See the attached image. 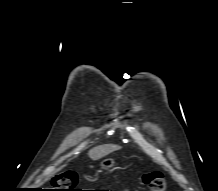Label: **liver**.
Instances as JSON below:
<instances>
[{
    "label": "liver",
    "mask_w": 218,
    "mask_h": 191,
    "mask_svg": "<svg viewBox=\"0 0 218 191\" xmlns=\"http://www.w3.org/2000/svg\"><path fill=\"white\" fill-rule=\"evenodd\" d=\"M118 149H120L119 146L112 145V144H106V145H101V146L92 148L88 152V155L92 160H98Z\"/></svg>",
    "instance_id": "obj_1"
}]
</instances>
